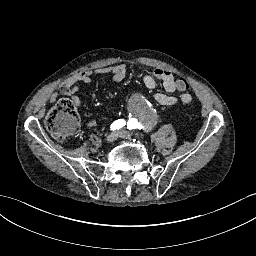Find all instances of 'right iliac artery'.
<instances>
[{"label": "right iliac artery", "mask_w": 256, "mask_h": 256, "mask_svg": "<svg viewBox=\"0 0 256 256\" xmlns=\"http://www.w3.org/2000/svg\"><path fill=\"white\" fill-rule=\"evenodd\" d=\"M126 122L125 120L123 119H118L116 121H114L112 124H111V130H119L120 128H122L123 126H125Z\"/></svg>", "instance_id": "82829eb1"}]
</instances>
